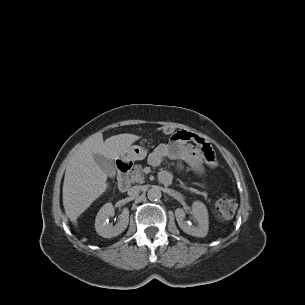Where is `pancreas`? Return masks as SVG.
Here are the masks:
<instances>
[{
	"instance_id": "pancreas-1",
	"label": "pancreas",
	"mask_w": 305,
	"mask_h": 305,
	"mask_svg": "<svg viewBox=\"0 0 305 305\" xmlns=\"http://www.w3.org/2000/svg\"><path fill=\"white\" fill-rule=\"evenodd\" d=\"M142 165L138 164V165H135L134 166V170H132L129 174L130 176V183H139V184H142L144 183V175H143V172H142ZM185 189L187 190H190V188L188 187H184Z\"/></svg>"
}]
</instances>
